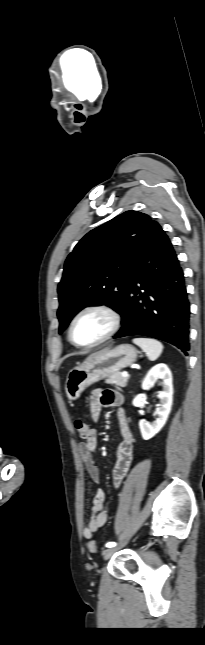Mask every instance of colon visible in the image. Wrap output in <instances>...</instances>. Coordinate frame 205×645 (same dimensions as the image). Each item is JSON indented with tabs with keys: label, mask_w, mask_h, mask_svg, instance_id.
Wrapping results in <instances>:
<instances>
[{
	"label": "colon",
	"mask_w": 205,
	"mask_h": 645,
	"mask_svg": "<svg viewBox=\"0 0 205 645\" xmlns=\"http://www.w3.org/2000/svg\"><path fill=\"white\" fill-rule=\"evenodd\" d=\"M74 427L75 430L78 432L81 438L87 439L90 436V428L87 424V422L82 419V418H76L74 420ZM88 549L93 552L97 553L98 552V546L94 540H90L87 544Z\"/></svg>",
	"instance_id": "5ec220e1"
}]
</instances>
